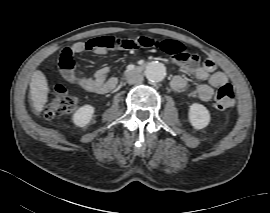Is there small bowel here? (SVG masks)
<instances>
[{
  "instance_id": "1",
  "label": "small bowel",
  "mask_w": 270,
  "mask_h": 213,
  "mask_svg": "<svg viewBox=\"0 0 270 213\" xmlns=\"http://www.w3.org/2000/svg\"><path fill=\"white\" fill-rule=\"evenodd\" d=\"M133 39L122 37H93L85 42H77L71 46L63 48L60 59H72L76 54H81L85 50H94V52L103 56L108 52L135 49L137 46L133 44ZM176 43L172 41L162 42V48L167 50L166 44ZM183 46V58L176 61L178 67L195 76L202 83L195 89L189 91L190 96L198 97L202 100H210L216 89L222 87L229 82L227 73L217 70L216 63L213 60H207L203 64H199L192 57L189 49ZM63 77L70 83L80 85L87 91L95 94H107L111 92L117 85V78L108 77L107 68L98 69L93 77H89L83 70L77 66H73L72 70L62 69ZM172 88L177 92L187 90V81L183 75H176L171 81Z\"/></svg>"
}]
</instances>
